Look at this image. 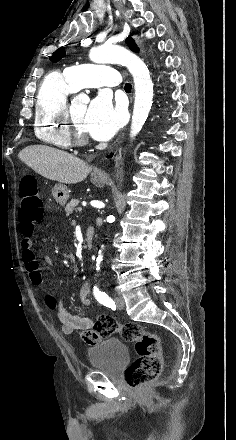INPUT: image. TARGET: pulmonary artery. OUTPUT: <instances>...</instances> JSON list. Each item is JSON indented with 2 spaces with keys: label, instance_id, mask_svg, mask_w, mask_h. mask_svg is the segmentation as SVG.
I'll return each instance as SVG.
<instances>
[{
  "label": "pulmonary artery",
  "instance_id": "obj_1",
  "mask_svg": "<svg viewBox=\"0 0 236 440\" xmlns=\"http://www.w3.org/2000/svg\"><path fill=\"white\" fill-rule=\"evenodd\" d=\"M64 75L75 90L83 87H120L121 77L117 69L108 65H73L65 69Z\"/></svg>",
  "mask_w": 236,
  "mask_h": 440
}]
</instances>
